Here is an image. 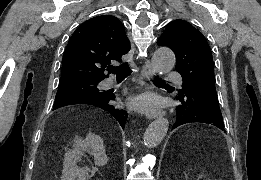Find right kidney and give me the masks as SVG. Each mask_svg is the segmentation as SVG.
Segmentation results:
<instances>
[{
  "label": "right kidney",
  "instance_id": "1",
  "mask_svg": "<svg viewBox=\"0 0 261 180\" xmlns=\"http://www.w3.org/2000/svg\"><path fill=\"white\" fill-rule=\"evenodd\" d=\"M84 152H89L91 156H94L95 166H105L108 162L103 140L100 136L87 134L85 140L75 138L73 150H69L64 156L62 180H73V178H81V176L88 178V170H82V168L76 166L77 160H80Z\"/></svg>",
  "mask_w": 261,
  "mask_h": 180
}]
</instances>
